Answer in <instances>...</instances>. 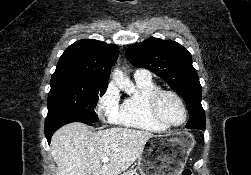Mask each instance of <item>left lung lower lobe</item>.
I'll return each instance as SVG.
<instances>
[{"label": "left lung lower lobe", "instance_id": "1", "mask_svg": "<svg viewBox=\"0 0 251 175\" xmlns=\"http://www.w3.org/2000/svg\"><path fill=\"white\" fill-rule=\"evenodd\" d=\"M189 112V123L199 122L202 119H205V113L203 109L188 107Z\"/></svg>", "mask_w": 251, "mask_h": 175}]
</instances>
